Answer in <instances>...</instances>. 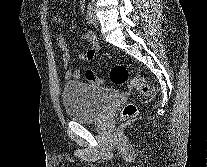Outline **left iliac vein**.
I'll return each instance as SVG.
<instances>
[{"label":"left iliac vein","mask_w":207,"mask_h":167,"mask_svg":"<svg viewBox=\"0 0 207 167\" xmlns=\"http://www.w3.org/2000/svg\"><path fill=\"white\" fill-rule=\"evenodd\" d=\"M94 24L96 25L97 24V20H96V17L94 16Z\"/></svg>","instance_id":"left-iliac-vein-1"}]
</instances>
